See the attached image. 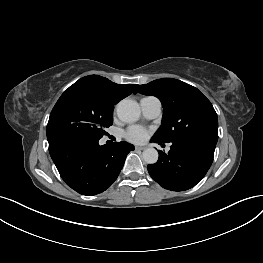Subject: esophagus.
Masks as SVG:
<instances>
[{
  "instance_id": "esophagus-1",
  "label": "esophagus",
  "mask_w": 263,
  "mask_h": 263,
  "mask_svg": "<svg viewBox=\"0 0 263 263\" xmlns=\"http://www.w3.org/2000/svg\"><path fill=\"white\" fill-rule=\"evenodd\" d=\"M135 149L141 151V150H145L146 147H143V146H135Z\"/></svg>"
}]
</instances>
